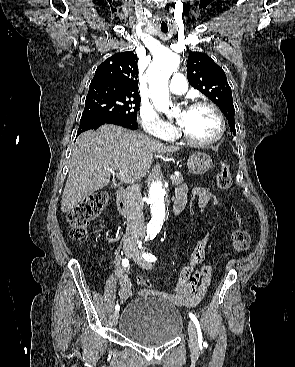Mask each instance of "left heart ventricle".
Returning a JSON list of instances; mask_svg holds the SVG:
<instances>
[{"mask_svg":"<svg viewBox=\"0 0 295 367\" xmlns=\"http://www.w3.org/2000/svg\"><path fill=\"white\" fill-rule=\"evenodd\" d=\"M181 128L197 140H208L219 130L216 114L209 107H197L178 113Z\"/></svg>","mask_w":295,"mask_h":367,"instance_id":"obj_1","label":"left heart ventricle"}]
</instances>
